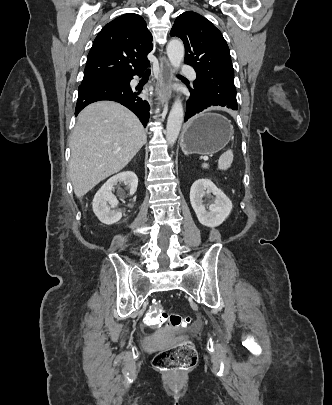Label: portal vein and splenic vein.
<instances>
[{
    "mask_svg": "<svg viewBox=\"0 0 332 405\" xmlns=\"http://www.w3.org/2000/svg\"><path fill=\"white\" fill-rule=\"evenodd\" d=\"M203 159H204L205 161H207V160H208V157H204Z\"/></svg>",
    "mask_w": 332,
    "mask_h": 405,
    "instance_id": "18ae733b",
    "label": "portal vein and splenic vein"
}]
</instances>
